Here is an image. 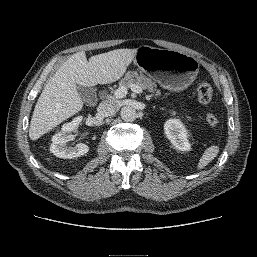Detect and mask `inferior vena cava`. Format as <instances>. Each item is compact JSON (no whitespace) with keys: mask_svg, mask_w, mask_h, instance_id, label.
Instances as JSON below:
<instances>
[{"mask_svg":"<svg viewBox=\"0 0 257 257\" xmlns=\"http://www.w3.org/2000/svg\"><path fill=\"white\" fill-rule=\"evenodd\" d=\"M118 104L113 101H103L97 108V114L102 117L112 116L118 110Z\"/></svg>","mask_w":257,"mask_h":257,"instance_id":"1","label":"inferior vena cava"}]
</instances>
